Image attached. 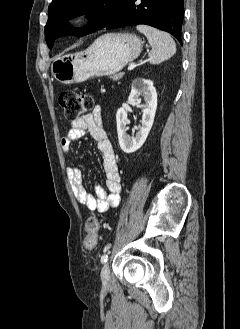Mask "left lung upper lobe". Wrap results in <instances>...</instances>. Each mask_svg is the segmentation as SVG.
I'll use <instances>...</instances> for the list:
<instances>
[{"instance_id": "obj_1", "label": "left lung upper lobe", "mask_w": 240, "mask_h": 329, "mask_svg": "<svg viewBox=\"0 0 240 329\" xmlns=\"http://www.w3.org/2000/svg\"><path fill=\"white\" fill-rule=\"evenodd\" d=\"M125 0H53L48 8L45 39L49 48L60 36L74 34L81 37L104 28L120 9ZM88 14L92 25L75 29L66 20Z\"/></svg>"}]
</instances>
